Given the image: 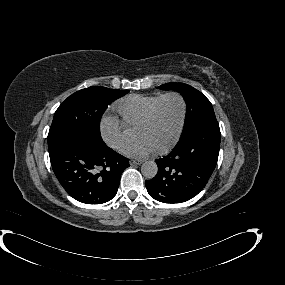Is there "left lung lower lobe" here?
I'll return each mask as SVG.
<instances>
[{"label": "left lung lower lobe", "instance_id": "0a47b994", "mask_svg": "<svg viewBox=\"0 0 285 285\" xmlns=\"http://www.w3.org/2000/svg\"><path fill=\"white\" fill-rule=\"evenodd\" d=\"M220 128L208 122L180 138L172 151L157 159L158 173L145 181L157 201L181 203L196 196L207 184L218 160Z\"/></svg>", "mask_w": 285, "mask_h": 285}]
</instances>
